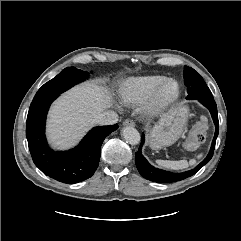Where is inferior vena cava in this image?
<instances>
[{
    "label": "inferior vena cava",
    "instance_id": "1",
    "mask_svg": "<svg viewBox=\"0 0 241 241\" xmlns=\"http://www.w3.org/2000/svg\"><path fill=\"white\" fill-rule=\"evenodd\" d=\"M118 122V115L114 111H105L95 117L94 123L98 125H112Z\"/></svg>",
    "mask_w": 241,
    "mask_h": 241
}]
</instances>
